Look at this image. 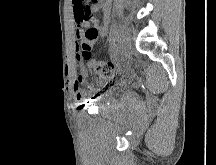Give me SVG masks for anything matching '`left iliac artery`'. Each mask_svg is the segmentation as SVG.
<instances>
[{"mask_svg": "<svg viewBox=\"0 0 216 165\" xmlns=\"http://www.w3.org/2000/svg\"><path fill=\"white\" fill-rule=\"evenodd\" d=\"M116 30H117V26H116V23H114L113 27H112L110 41L114 40V36H115Z\"/></svg>", "mask_w": 216, "mask_h": 165, "instance_id": "obj_1", "label": "left iliac artery"}]
</instances>
